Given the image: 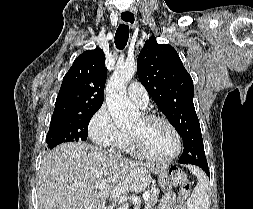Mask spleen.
I'll return each mask as SVG.
<instances>
[{
    "label": "spleen",
    "mask_w": 253,
    "mask_h": 209,
    "mask_svg": "<svg viewBox=\"0 0 253 209\" xmlns=\"http://www.w3.org/2000/svg\"><path fill=\"white\" fill-rule=\"evenodd\" d=\"M190 170L196 175L198 182L187 201V209H209V183L207 177L199 168L191 167Z\"/></svg>",
    "instance_id": "1"
}]
</instances>
